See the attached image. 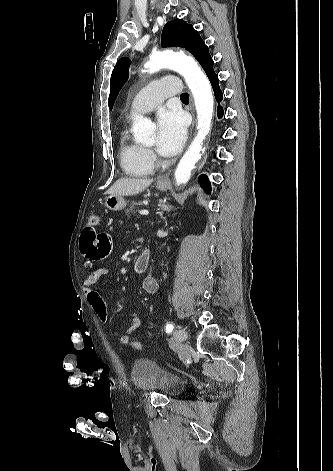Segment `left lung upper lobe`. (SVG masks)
Here are the masks:
<instances>
[{"mask_svg":"<svg viewBox=\"0 0 333 471\" xmlns=\"http://www.w3.org/2000/svg\"><path fill=\"white\" fill-rule=\"evenodd\" d=\"M161 46L184 48L188 50L200 64L210 55L208 47L205 45L199 33L194 30L192 25L181 19L172 20L165 24L161 36ZM129 65L130 60L128 58H121L117 61L113 69L109 95L110 110H112L119 90L128 79Z\"/></svg>","mask_w":333,"mask_h":471,"instance_id":"obj_1","label":"left lung upper lobe"}]
</instances>
